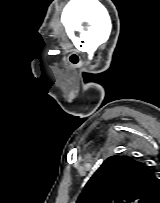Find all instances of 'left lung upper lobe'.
Returning a JSON list of instances; mask_svg holds the SVG:
<instances>
[{
  "mask_svg": "<svg viewBox=\"0 0 160 203\" xmlns=\"http://www.w3.org/2000/svg\"><path fill=\"white\" fill-rule=\"evenodd\" d=\"M160 180L144 163L111 156L100 166L76 203H155Z\"/></svg>",
  "mask_w": 160,
  "mask_h": 203,
  "instance_id": "5c2ea615",
  "label": "left lung upper lobe"
}]
</instances>
